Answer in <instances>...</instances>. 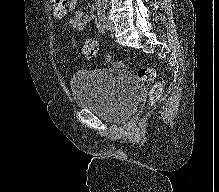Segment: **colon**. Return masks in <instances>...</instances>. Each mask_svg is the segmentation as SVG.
<instances>
[{"instance_id": "1", "label": "colon", "mask_w": 219, "mask_h": 192, "mask_svg": "<svg viewBox=\"0 0 219 192\" xmlns=\"http://www.w3.org/2000/svg\"><path fill=\"white\" fill-rule=\"evenodd\" d=\"M98 55V45L95 40H88L82 48V56L86 60L95 59ZM121 68L134 72L139 80L151 81L155 78L156 70L154 68L141 67L134 70L128 62L121 61L116 63ZM165 88L164 82L155 83L150 90L149 98L151 102H156L163 94Z\"/></svg>"}]
</instances>
